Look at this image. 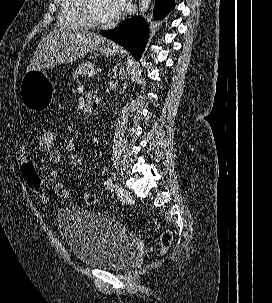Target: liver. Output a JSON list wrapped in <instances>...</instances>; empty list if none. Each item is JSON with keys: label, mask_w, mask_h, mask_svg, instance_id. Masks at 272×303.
Listing matches in <instances>:
<instances>
[{"label": "liver", "mask_w": 272, "mask_h": 303, "mask_svg": "<svg viewBox=\"0 0 272 303\" xmlns=\"http://www.w3.org/2000/svg\"><path fill=\"white\" fill-rule=\"evenodd\" d=\"M105 42V38L87 30L55 29L40 41L27 71L76 61Z\"/></svg>", "instance_id": "liver-1"}]
</instances>
